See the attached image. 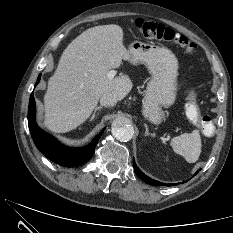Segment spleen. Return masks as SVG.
<instances>
[{
	"instance_id": "1",
	"label": "spleen",
	"mask_w": 233,
	"mask_h": 233,
	"mask_svg": "<svg viewBox=\"0 0 233 233\" xmlns=\"http://www.w3.org/2000/svg\"><path fill=\"white\" fill-rule=\"evenodd\" d=\"M173 151L185 158L188 163H195L201 153V138L198 130L184 133L171 139Z\"/></svg>"
}]
</instances>
